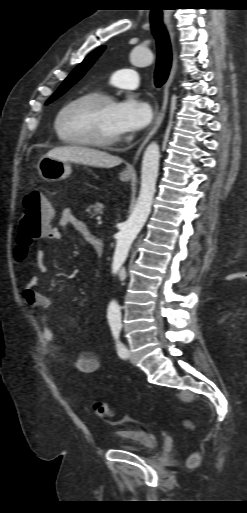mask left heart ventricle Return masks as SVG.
Segmentation results:
<instances>
[{
  "label": "left heart ventricle",
  "mask_w": 247,
  "mask_h": 513,
  "mask_svg": "<svg viewBox=\"0 0 247 513\" xmlns=\"http://www.w3.org/2000/svg\"><path fill=\"white\" fill-rule=\"evenodd\" d=\"M116 103H82L70 108L61 120V130L68 138L109 140L120 137L115 124Z\"/></svg>",
  "instance_id": "left-heart-ventricle-1"
}]
</instances>
